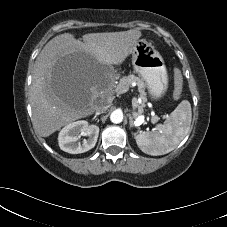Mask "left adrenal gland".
<instances>
[{
  "instance_id": "1",
  "label": "left adrenal gland",
  "mask_w": 227,
  "mask_h": 227,
  "mask_svg": "<svg viewBox=\"0 0 227 227\" xmlns=\"http://www.w3.org/2000/svg\"><path fill=\"white\" fill-rule=\"evenodd\" d=\"M128 117H129L130 128L137 127V125L133 121V116L131 114H128Z\"/></svg>"
}]
</instances>
